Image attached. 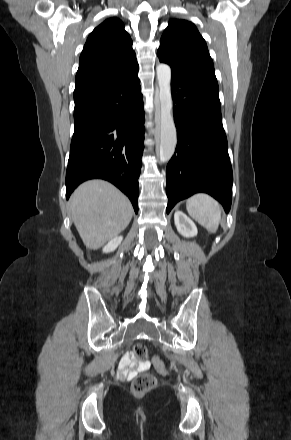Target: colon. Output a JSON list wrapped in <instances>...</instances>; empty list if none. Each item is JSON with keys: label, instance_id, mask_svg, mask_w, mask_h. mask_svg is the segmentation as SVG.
I'll return each mask as SVG.
<instances>
[{"label": "colon", "instance_id": "5ec220e1", "mask_svg": "<svg viewBox=\"0 0 291 440\" xmlns=\"http://www.w3.org/2000/svg\"><path fill=\"white\" fill-rule=\"evenodd\" d=\"M133 354L137 359H146L149 355L147 347L142 343H136L133 347ZM156 370L164 374L167 372L166 364L159 358L153 360ZM156 384L155 377L149 373H143L137 376L131 385V391L136 396H143L154 388Z\"/></svg>", "mask_w": 291, "mask_h": 440}]
</instances>
